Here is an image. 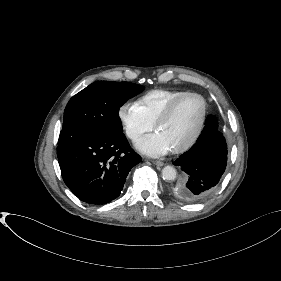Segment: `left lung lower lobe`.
<instances>
[{"instance_id": "0a47b994", "label": "left lung lower lobe", "mask_w": 281, "mask_h": 281, "mask_svg": "<svg viewBox=\"0 0 281 281\" xmlns=\"http://www.w3.org/2000/svg\"><path fill=\"white\" fill-rule=\"evenodd\" d=\"M227 152V144L218 131L217 120L209 115L196 143L173 163L185 172L176 194L190 203H198L210 197L225 172Z\"/></svg>"}]
</instances>
